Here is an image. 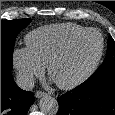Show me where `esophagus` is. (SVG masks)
Here are the masks:
<instances>
[{"instance_id": "esophagus-1", "label": "esophagus", "mask_w": 115, "mask_h": 115, "mask_svg": "<svg viewBox=\"0 0 115 115\" xmlns=\"http://www.w3.org/2000/svg\"><path fill=\"white\" fill-rule=\"evenodd\" d=\"M43 96H47V93H45V92H43V91H37V92L35 93V97H36V98H41V97H43Z\"/></svg>"}]
</instances>
